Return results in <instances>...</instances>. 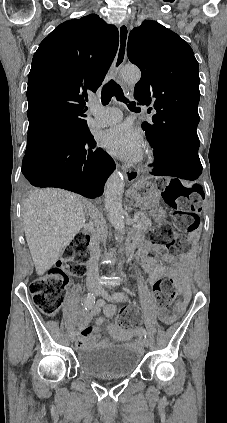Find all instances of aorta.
Segmentation results:
<instances>
[{
    "label": "aorta",
    "instance_id": "1",
    "mask_svg": "<svg viewBox=\"0 0 227 423\" xmlns=\"http://www.w3.org/2000/svg\"><path fill=\"white\" fill-rule=\"evenodd\" d=\"M122 77L127 82L136 83L140 80L141 73L137 67L126 66L122 70ZM124 192L123 175L115 171L108 178L104 193V205L108 219L117 232L122 233L125 227L124 211L122 208V195ZM110 260V259H107Z\"/></svg>",
    "mask_w": 227,
    "mask_h": 423
}]
</instances>
